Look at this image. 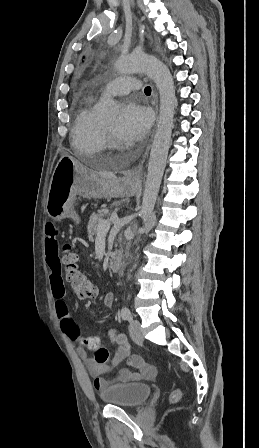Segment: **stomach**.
I'll list each match as a JSON object with an SVG mask.
<instances>
[{"label":"stomach","instance_id":"0dacf381","mask_svg":"<svg viewBox=\"0 0 259 448\" xmlns=\"http://www.w3.org/2000/svg\"><path fill=\"white\" fill-rule=\"evenodd\" d=\"M77 162L72 156H61L52 174L47 202L46 212L53 220L68 218L69 221L81 219L75 206H68L73 202L75 194V166ZM68 214V215H67Z\"/></svg>","mask_w":259,"mask_h":448}]
</instances>
